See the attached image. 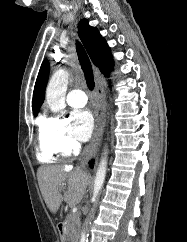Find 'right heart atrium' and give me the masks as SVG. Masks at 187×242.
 I'll return each mask as SVG.
<instances>
[{
    "instance_id": "1",
    "label": "right heart atrium",
    "mask_w": 187,
    "mask_h": 242,
    "mask_svg": "<svg viewBox=\"0 0 187 242\" xmlns=\"http://www.w3.org/2000/svg\"><path fill=\"white\" fill-rule=\"evenodd\" d=\"M42 135L47 144L58 154L66 156L79 148V143L72 136L65 118H46L42 124Z\"/></svg>"
}]
</instances>
